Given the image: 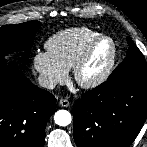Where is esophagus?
<instances>
[{
    "mask_svg": "<svg viewBox=\"0 0 147 147\" xmlns=\"http://www.w3.org/2000/svg\"><path fill=\"white\" fill-rule=\"evenodd\" d=\"M59 104H60V106H62V107H69L70 102H69V100L63 99V98H62V99H60Z\"/></svg>",
    "mask_w": 147,
    "mask_h": 147,
    "instance_id": "obj_1",
    "label": "esophagus"
}]
</instances>
